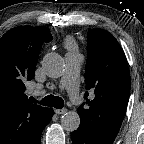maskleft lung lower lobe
<instances>
[{
    "label": "left lung lower lobe",
    "instance_id": "1",
    "mask_svg": "<svg viewBox=\"0 0 144 144\" xmlns=\"http://www.w3.org/2000/svg\"><path fill=\"white\" fill-rule=\"evenodd\" d=\"M71 137L73 144H112L114 142V139L97 136L81 125L72 132Z\"/></svg>",
    "mask_w": 144,
    "mask_h": 144
}]
</instances>
